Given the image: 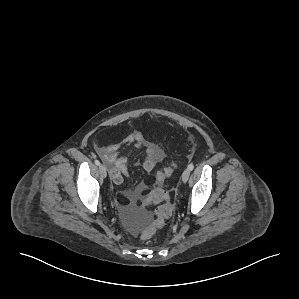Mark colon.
<instances>
[{"mask_svg": "<svg viewBox=\"0 0 299 299\" xmlns=\"http://www.w3.org/2000/svg\"><path fill=\"white\" fill-rule=\"evenodd\" d=\"M177 167V163H172L169 167L165 168L163 171L157 172L155 175V183L157 186L144 198V205H149L151 203L160 205L155 210L154 222L141 232L142 238H150L163 226L165 220L172 214L173 206L171 204L169 193L161 188L160 185L173 174Z\"/></svg>", "mask_w": 299, "mask_h": 299, "instance_id": "5ec220e1", "label": "colon"}]
</instances>
